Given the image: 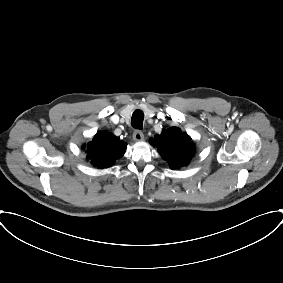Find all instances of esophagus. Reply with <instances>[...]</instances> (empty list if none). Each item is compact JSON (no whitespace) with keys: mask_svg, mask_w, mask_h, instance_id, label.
I'll return each mask as SVG.
<instances>
[{"mask_svg":"<svg viewBox=\"0 0 283 283\" xmlns=\"http://www.w3.org/2000/svg\"><path fill=\"white\" fill-rule=\"evenodd\" d=\"M133 139L135 141H142L144 139V134L141 130H135L133 133Z\"/></svg>","mask_w":283,"mask_h":283,"instance_id":"1","label":"esophagus"}]
</instances>
